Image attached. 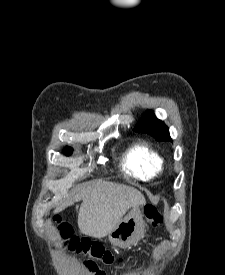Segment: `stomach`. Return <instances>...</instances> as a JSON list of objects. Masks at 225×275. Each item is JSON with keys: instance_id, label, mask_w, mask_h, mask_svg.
I'll return each mask as SVG.
<instances>
[{"instance_id": "obj_1", "label": "stomach", "mask_w": 225, "mask_h": 275, "mask_svg": "<svg viewBox=\"0 0 225 275\" xmlns=\"http://www.w3.org/2000/svg\"><path fill=\"white\" fill-rule=\"evenodd\" d=\"M144 233L145 222L142 209L140 206H135L108 234V238L113 246L126 248L139 242Z\"/></svg>"}]
</instances>
